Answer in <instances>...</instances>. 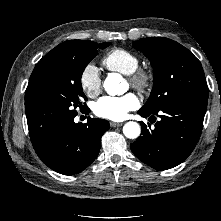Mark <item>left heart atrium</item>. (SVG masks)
Returning a JSON list of instances; mask_svg holds the SVG:
<instances>
[{
	"label": "left heart atrium",
	"instance_id": "left-heart-atrium-1",
	"mask_svg": "<svg viewBox=\"0 0 221 221\" xmlns=\"http://www.w3.org/2000/svg\"><path fill=\"white\" fill-rule=\"evenodd\" d=\"M139 99L134 93L123 96H103L94 106V113L101 118L119 121L127 117L128 113L139 107Z\"/></svg>",
	"mask_w": 221,
	"mask_h": 221
}]
</instances>
